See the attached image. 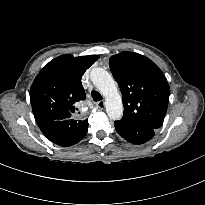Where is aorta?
<instances>
[{"instance_id":"obj_1","label":"aorta","mask_w":205,"mask_h":205,"mask_svg":"<svg viewBox=\"0 0 205 205\" xmlns=\"http://www.w3.org/2000/svg\"><path fill=\"white\" fill-rule=\"evenodd\" d=\"M91 81L105 97V107L110 119L118 120L123 115L122 98L112 76L103 68L91 70Z\"/></svg>"}]
</instances>
